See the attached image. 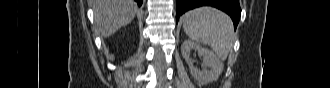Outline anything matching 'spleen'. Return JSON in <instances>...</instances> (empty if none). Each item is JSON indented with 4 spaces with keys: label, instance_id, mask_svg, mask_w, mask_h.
Listing matches in <instances>:
<instances>
[{
    "label": "spleen",
    "instance_id": "spleen-1",
    "mask_svg": "<svg viewBox=\"0 0 330 88\" xmlns=\"http://www.w3.org/2000/svg\"><path fill=\"white\" fill-rule=\"evenodd\" d=\"M183 28L188 37L209 45L222 61L226 60L234 42L232 20L213 7H199L182 16Z\"/></svg>",
    "mask_w": 330,
    "mask_h": 88
}]
</instances>
